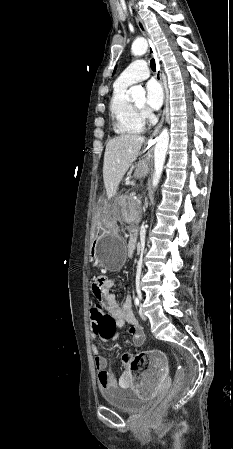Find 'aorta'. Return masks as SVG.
I'll use <instances>...</instances> for the list:
<instances>
[{"instance_id":"762f6f07","label":"aorta","mask_w":233,"mask_h":449,"mask_svg":"<svg viewBox=\"0 0 233 449\" xmlns=\"http://www.w3.org/2000/svg\"><path fill=\"white\" fill-rule=\"evenodd\" d=\"M147 49H148V43H147L146 39H144V38H138L137 40H135L133 42L132 48H131L132 53L137 56L145 54ZM129 92L133 98L145 95L144 89L140 86L131 87L129 89ZM168 145H169V132H168L167 128H163L157 138L155 149H154V168L155 169H154L153 180H152V184L154 187H156L159 183V180H160V177H161V174L163 171V166H164V162H165V158H166Z\"/></svg>"}]
</instances>
